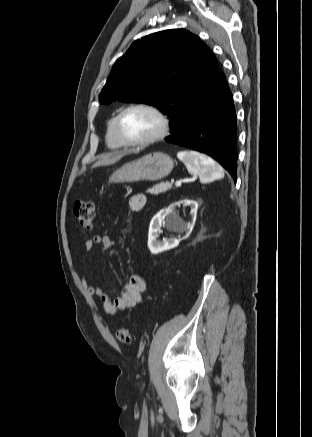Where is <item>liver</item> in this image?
<instances>
[{
	"instance_id": "obj_1",
	"label": "liver",
	"mask_w": 312,
	"mask_h": 437,
	"mask_svg": "<svg viewBox=\"0 0 312 437\" xmlns=\"http://www.w3.org/2000/svg\"><path fill=\"white\" fill-rule=\"evenodd\" d=\"M131 152H136L135 150ZM129 152H114L103 156L100 160H98L95 164H93L92 168H97L100 166H108L118 162L122 157H124Z\"/></svg>"
}]
</instances>
